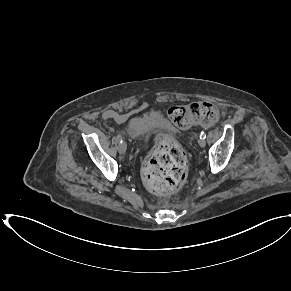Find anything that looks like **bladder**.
<instances>
[{
  "label": "bladder",
  "instance_id": "bladder-1",
  "mask_svg": "<svg viewBox=\"0 0 291 291\" xmlns=\"http://www.w3.org/2000/svg\"><path fill=\"white\" fill-rule=\"evenodd\" d=\"M153 125L149 123L147 117L131 118L126 123V133L130 136L144 137L152 131Z\"/></svg>",
  "mask_w": 291,
  "mask_h": 291
}]
</instances>
